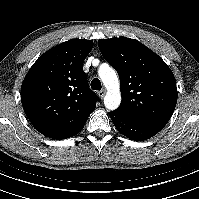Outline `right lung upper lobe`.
Returning <instances> with one entry per match:
<instances>
[{
  "label": "right lung upper lobe",
  "instance_id": "obj_1",
  "mask_svg": "<svg viewBox=\"0 0 199 199\" xmlns=\"http://www.w3.org/2000/svg\"><path fill=\"white\" fill-rule=\"evenodd\" d=\"M93 41L71 39L45 52L28 71L21 87L23 109L36 130L66 139L83 129L96 107L82 65Z\"/></svg>",
  "mask_w": 199,
  "mask_h": 199
}]
</instances>
